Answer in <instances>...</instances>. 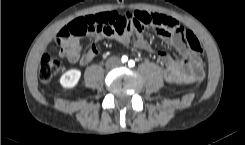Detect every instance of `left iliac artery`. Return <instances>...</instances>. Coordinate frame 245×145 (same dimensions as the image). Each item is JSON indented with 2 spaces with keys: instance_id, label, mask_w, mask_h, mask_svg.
Masks as SVG:
<instances>
[{
  "instance_id": "1",
  "label": "left iliac artery",
  "mask_w": 245,
  "mask_h": 145,
  "mask_svg": "<svg viewBox=\"0 0 245 145\" xmlns=\"http://www.w3.org/2000/svg\"><path fill=\"white\" fill-rule=\"evenodd\" d=\"M129 67H133L135 65V62L133 60H130L128 62Z\"/></svg>"
}]
</instances>
